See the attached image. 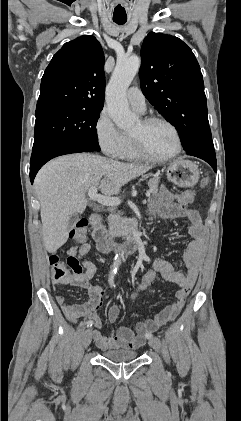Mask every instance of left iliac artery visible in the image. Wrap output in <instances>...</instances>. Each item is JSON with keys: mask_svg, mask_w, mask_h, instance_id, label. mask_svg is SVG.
I'll use <instances>...</instances> for the list:
<instances>
[{"mask_svg": "<svg viewBox=\"0 0 241 421\" xmlns=\"http://www.w3.org/2000/svg\"><path fill=\"white\" fill-rule=\"evenodd\" d=\"M148 338H149V339H151V338H152V336H148Z\"/></svg>", "mask_w": 241, "mask_h": 421, "instance_id": "1", "label": "left iliac artery"}]
</instances>
